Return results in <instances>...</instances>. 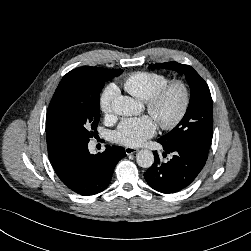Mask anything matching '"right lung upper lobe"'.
Here are the masks:
<instances>
[{
    "instance_id": "right-lung-upper-lobe-1",
    "label": "right lung upper lobe",
    "mask_w": 251,
    "mask_h": 251,
    "mask_svg": "<svg viewBox=\"0 0 251 251\" xmlns=\"http://www.w3.org/2000/svg\"><path fill=\"white\" fill-rule=\"evenodd\" d=\"M86 68L80 67L77 69ZM60 91V84L58 85L53 98L49 104L46 116V137L49 157L55 156L64 146L70 142L60 133L54 119V110L57 103L58 94Z\"/></svg>"
}]
</instances>
